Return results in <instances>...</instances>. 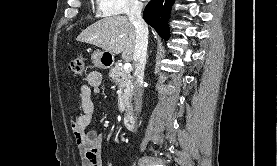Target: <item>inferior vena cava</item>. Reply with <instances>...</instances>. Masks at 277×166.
<instances>
[{
  "mask_svg": "<svg viewBox=\"0 0 277 166\" xmlns=\"http://www.w3.org/2000/svg\"><path fill=\"white\" fill-rule=\"evenodd\" d=\"M143 5L138 0H131L129 11L127 13L129 21L136 30L134 59V104L136 116L141 112L143 96V76L147 57L148 46V26L141 16Z\"/></svg>",
  "mask_w": 277,
  "mask_h": 166,
  "instance_id": "1",
  "label": "inferior vena cava"
}]
</instances>
